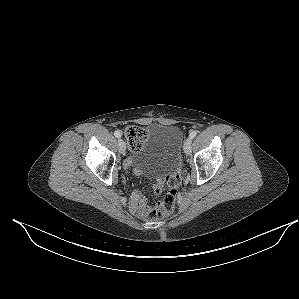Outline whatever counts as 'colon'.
<instances>
[{"mask_svg": "<svg viewBox=\"0 0 299 299\" xmlns=\"http://www.w3.org/2000/svg\"><path fill=\"white\" fill-rule=\"evenodd\" d=\"M124 134L130 150L134 152L140 150L147 136L146 130L139 126H128ZM181 182V171L176 170L167 175L164 180L156 186V193L164 191V195L155 206L148 211V216L151 219H160L173 211L177 191Z\"/></svg>", "mask_w": 299, "mask_h": 299, "instance_id": "colon-1", "label": "colon"}]
</instances>
